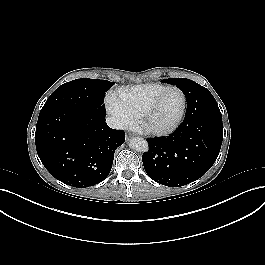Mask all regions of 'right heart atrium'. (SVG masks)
<instances>
[{
	"mask_svg": "<svg viewBox=\"0 0 265 265\" xmlns=\"http://www.w3.org/2000/svg\"><path fill=\"white\" fill-rule=\"evenodd\" d=\"M105 103L108 112L115 118L120 127L125 128L133 124L132 116L121 104L117 93H109L106 96Z\"/></svg>",
	"mask_w": 265,
	"mask_h": 265,
	"instance_id": "obj_1",
	"label": "right heart atrium"
}]
</instances>
